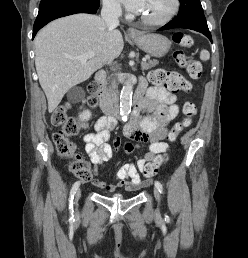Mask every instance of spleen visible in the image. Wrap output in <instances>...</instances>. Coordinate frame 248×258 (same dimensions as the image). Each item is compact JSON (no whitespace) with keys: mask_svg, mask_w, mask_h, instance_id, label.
<instances>
[{"mask_svg":"<svg viewBox=\"0 0 248 258\" xmlns=\"http://www.w3.org/2000/svg\"><path fill=\"white\" fill-rule=\"evenodd\" d=\"M200 59L202 61H207L210 59V53L206 50V49H203L200 53Z\"/></svg>","mask_w":248,"mask_h":258,"instance_id":"1","label":"spleen"}]
</instances>
